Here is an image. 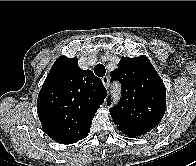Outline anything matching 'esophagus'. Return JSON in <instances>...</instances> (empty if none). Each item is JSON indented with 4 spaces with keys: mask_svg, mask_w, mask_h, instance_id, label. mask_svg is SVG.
<instances>
[{
    "mask_svg": "<svg viewBox=\"0 0 196 166\" xmlns=\"http://www.w3.org/2000/svg\"><path fill=\"white\" fill-rule=\"evenodd\" d=\"M102 82H103L105 88L107 89L108 86H109V78H108V76H104V77L102 78Z\"/></svg>",
    "mask_w": 196,
    "mask_h": 166,
    "instance_id": "34e87169",
    "label": "esophagus"
}]
</instances>
